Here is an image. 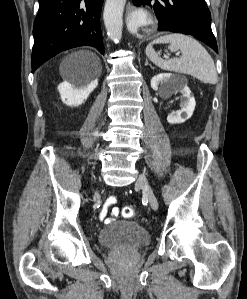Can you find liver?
Masks as SVG:
<instances>
[{
  "label": "liver",
  "mask_w": 247,
  "mask_h": 299,
  "mask_svg": "<svg viewBox=\"0 0 247 299\" xmlns=\"http://www.w3.org/2000/svg\"><path fill=\"white\" fill-rule=\"evenodd\" d=\"M81 54L89 56L92 59V61L95 63L96 67H98V71L100 72L101 62H100V59L98 58V56L95 53H93L91 51H82Z\"/></svg>",
  "instance_id": "6515ba94"
}]
</instances>
